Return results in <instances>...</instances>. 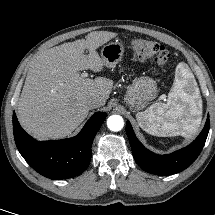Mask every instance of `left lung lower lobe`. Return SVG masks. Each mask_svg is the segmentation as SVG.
Returning a JSON list of instances; mask_svg holds the SVG:
<instances>
[{"mask_svg": "<svg viewBox=\"0 0 215 215\" xmlns=\"http://www.w3.org/2000/svg\"><path fill=\"white\" fill-rule=\"evenodd\" d=\"M209 115L198 137L188 146L167 155H157L146 149L136 138L127 121L126 133L137 164L146 172L156 175H172L188 168L202 151L209 132Z\"/></svg>", "mask_w": 215, "mask_h": 215, "instance_id": "obj_1", "label": "left lung lower lobe"}]
</instances>
